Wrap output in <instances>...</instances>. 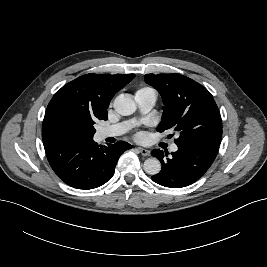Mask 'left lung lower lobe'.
<instances>
[{
    "mask_svg": "<svg viewBox=\"0 0 267 267\" xmlns=\"http://www.w3.org/2000/svg\"><path fill=\"white\" fill-rule=\"evenodd\" d=\"M219 145L204 143L193 146L178 145V150L168 153L154 149L151 154L162 163L161 171L152 176L159 185L171 188H181L200 179L209 169L218 153Z\"/></svg>",
    "mask_w": 267,
    "mask_h": 267,
    "instance_id": "1",
    "label": "left lung lower lobe"
}]
</instances>
